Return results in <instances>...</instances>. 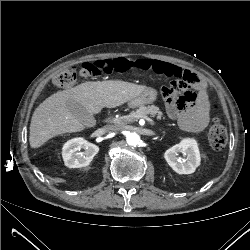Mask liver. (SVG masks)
Returning <instances> with one entry per match:
<instances>
[{"label": "liver", "mask_w": 250, "mask_h": 250, "mask_svg": "<svg viewBox=\"0 0 250 250\" xmlns=\"http://www.w3.org/2000/svg\"><path fill=\"white\" fill-rule=\"evenodd\" d=\"M144 85L125 81L84 82L73 88L59 91L45 99L34 111L29 132L32 148H39L49 139L84 130L94 125L93 115L103 108H115L141 94ZM80 103L90 114L87 123L79 121L68 109L66 102Z\"/></svg>", "instance_id": "6515ba94"}]
</instances>
